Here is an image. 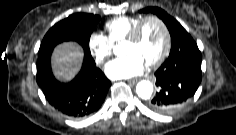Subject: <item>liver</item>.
I'll return each mask as SVG.
<instances>
[{"mask_svg": "<svg viewBox=\"0 0 236 135\" xmlns=\"http://www.w3.org/2000/svg\"><path fill=\"white\" fill-rule=\"evenodd\" d=\"M83 52L81 47L73 42H65L57 46L52 57L54 75L62 81H70L78 72Z\"/></svg>", "mask_w": 236, "mask_h": 135, "instance_id": "1", "label": "liver"}]
</instances>
